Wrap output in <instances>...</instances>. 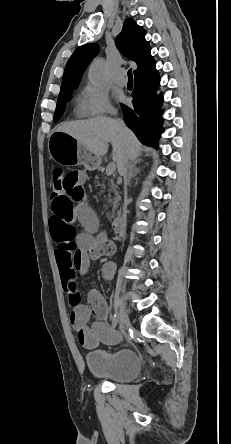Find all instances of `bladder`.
I'll list each match as a JSON object with an SVG mask.
<instances>
[{
  "label": "bladder",
  "instance_id": "1",
  "mask_svg": "<svg viewBox=\"0 0 231 444\" xmlns=\"http://www.w3.org/2000/svg\"><path fill=\"white\" fill-rule=\"evenodd\" d=\"M86 365L93 376L118 383L134 380L142 369L140 356L129 349L89 353Z\"/></svg>",
  "mask_w": 231,
  "mask_h": 444
}]
</instances>
